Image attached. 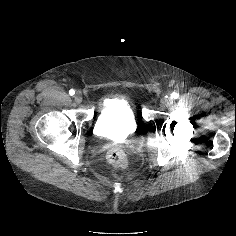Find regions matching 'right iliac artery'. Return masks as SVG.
I'll use <instances>...</instances> for the list:
<instances>
[{"label":"right iliac artery","mask_w":236,"mask_h":236,"mask_svg":"<svg viewBox=\"0 0 236 236\" xmlns=\"http://www.w3.org/2000/svg\"><path fill=\"white\" fill-rule=\"evenodd\" d=\"M69 94L73 96L75 94V91L73 89L69 90Z\"/></svg>","instance_id":"1"}]
</instances>
